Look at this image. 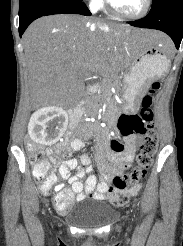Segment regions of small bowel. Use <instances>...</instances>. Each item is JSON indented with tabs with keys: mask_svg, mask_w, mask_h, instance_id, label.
Masks as SVG:
<instances>
[{
	"mask_svg": "<svg viewBox=\"0 0 183 246\" xmlns=\"http://www.w3.org/2000/svg\"><path fill=\"white\" fill-rule=\"evenodd\" d=\"M83 135L86 138L92 136L88 131H84ZM109 138L110 135L107 133L94 138L96 162L102 175V180H99L98 175L93 172L89 155L83 154L80 160L71 157L74 152L84 147V141L82 139L75 138L72 139L69 144L61 145L59 149L51 148L47 150L51 162L58 167L61 177L67 179L71 184V190L65 189L63 185L55 186V190L59 192L58 195L70 199L71 203H73L74 200L83 201L86 198H93L95 200H103L105 198V193L109 188V182L115 176L121 175L132 163L135 156L136 144L141 139V134L123 137L125 152H111L110 148L112 145ZM59 151H66L69 159L60 163L58 157ZM73 169H77L78 172L70 173ZM86 176L87 178L85 182H83L82 180ZM55 181L56 178L54 176L52 186ZM49 190L50 189L42 191L47 194ZM71 207L60 213L66 215Z\"/></svg>",
	"mask_w": 183,
	"mask_h": 246,
	"instance_id": "1",
	"label": "small bowel"
}]
</instances>
